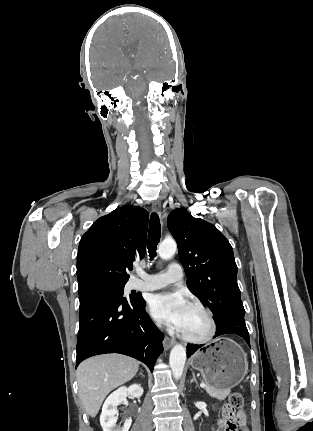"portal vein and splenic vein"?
I'll list each match as a JSON object with an SVG mask.
<instances>
[{"instance_id": "18ae733b", "label": "portal vein and splenic vein", "mask_w": 313, "mask_h": 431, "mask_svg": "<svg viewBox=\"0 0 313 431\" xmlns=\"http://www.w3.org/2000/svg\"><path fill=\"white\" fill-rule=\"evenodd\" d=\"M200 387H201V388H205V387H206V384L201 383V384H200Z\"/></svg>"}]
</instances>
